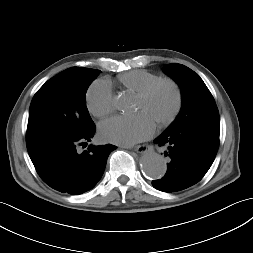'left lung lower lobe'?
<instances>
[{
  "mask_svg": "<svg viewBox=\"0 0 253 253\" xmlns=\"http://www.w3.org/2000/svg\"><path fill=\"white\" fill-rule=\"evenodd\" d=\"M220 122L204 120L164 132L154 142L166 148L167 172L154 180L155 189L175 192L199 182L212 165L219 147Z\"/></svg>",
  "mask_w": 253,
  "mask_h": 253,
  "instance_id": "left-lung-lower-lobe-1",
  "label": "left lung lower lobe"
}]
</instances>
